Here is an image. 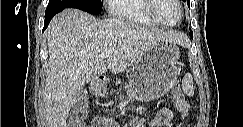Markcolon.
Wrapping results in <instances>:
<instances>
[{
	"instance_id": "1",
	"label": "colon",
	"mask_w": 243,
	"mask_h": 127,
	"mask_svg": "<svg viewBox=\"0 0 243 127\" xmlns=\"http://www.w3.org/2000/svg\"><path fill=\"white\" fill-rule=\"evenodd\" d=\"M172 94L175 99L179 101H183L184 97L180 91V86L179 84H175ZM86 105L85 104H80L79 106L75 107L74 110L72 111L71 117H70V122L69 126L70 127H85V119H86Z\"/></svg>"
}]
</instances>
